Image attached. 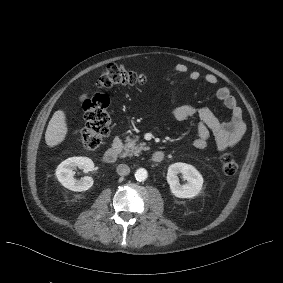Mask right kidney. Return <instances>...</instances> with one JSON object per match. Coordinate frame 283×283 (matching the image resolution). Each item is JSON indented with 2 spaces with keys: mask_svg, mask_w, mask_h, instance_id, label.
<instances>
[{
  "mask_svg": "<svg viewBox=\"0 0 283 283\" xmlns=\"http://www.w3.org/2000/svg\"><path fill=\"white\" fill-rule=\"evenodd\" d=\"M79 167L84 169L85 172L92 171L94 169L93 161L88 157H71L59 164L56 169V177L58 181L67 189L72 191H86L93 185V179L91 177H83L81 179L73 178V169Z\"/></svg>",
  "mask_w": 283,
  "mask_h": 283,
  "instance_id": "ca27d5eb",
  "label": "right kidney"
}]
</instances>
